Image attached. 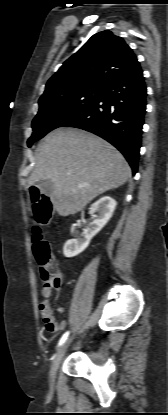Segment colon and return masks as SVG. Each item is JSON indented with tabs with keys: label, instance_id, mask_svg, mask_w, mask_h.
<instances>
[{
	"label": "colon",
	"instance_id": "obj_1",
	"mask_svg": "<svg viewBox=\"0 0 168 415\" xmlns=\"http://www.w3.org/2000/svg\"><path fill=\"white\" fill-rule=\"evenodd\" d=\"M35 226L33 228V254L40 267L45 284L56 286L60 282V272L57 261L51 251L49 243L44 239L42 226L51 219V204L47 197L35 190L31 193Z\"/></svg>",
	"mask_w": 168,
	"mask_h": 415
}]
</instances>
